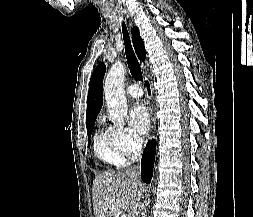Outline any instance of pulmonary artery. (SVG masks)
I'll return each instance as SVG.
<instances>
[{
  "label": "pulmonary artery",
  "instance_id": "1",
  "mask_svg": "<svg viewBox=\"0 0 253 217\" xmlns=\"http://www.w3.org/2000/svg\"><path fill=\"white\" fill-rule=\"evenodd\" d=\"M126 90L133 98H139L143 95V91L138 84H130Z\"/></svg>",
  "mask_w": 253,
  "mask_h": 217
}]
</instances>
